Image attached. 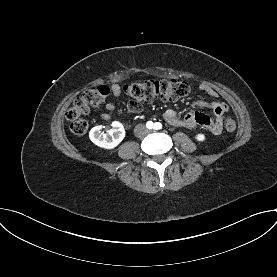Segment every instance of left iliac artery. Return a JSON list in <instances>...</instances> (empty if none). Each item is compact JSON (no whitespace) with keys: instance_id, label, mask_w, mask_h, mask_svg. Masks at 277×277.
<instances>
[{"instance_id":"44dca946","label":"left iliac artery","mask_w":277,"mask_h":277,"mask_svg":"<svg viewBox=\"0 0 277 277\" xmlns=\"http://www.w3.org/2000/svg\"><path fill=\"white\" fill-rule=\"evenodd\" d=\"M162 128V124L157 122L154 124V129L158 130V129H161Z\"/></svg>"}]
</instances>
